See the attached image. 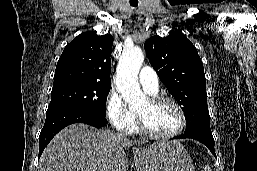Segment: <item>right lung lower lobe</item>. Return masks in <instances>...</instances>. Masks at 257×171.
<instances>
[{
    "label": "right lung lower lobe",
    "instance_id": "right-lung-lower-lobe-1",
    "mask_svg": "<svg viewBox=\"0 0 257 171\" xmlns=\"http://www.w3.org/2000/svg\"><path fill=\"white\" fill-rule=\"evenodd\" d=\"M73 123H84L102 127L107 123L105 117L80 107H59L46 112V120L39 136V157L51 139L64 127Z\"/></svg>",
    "mask_w": 257,
    "mask_h": 171
}]
</instances>
